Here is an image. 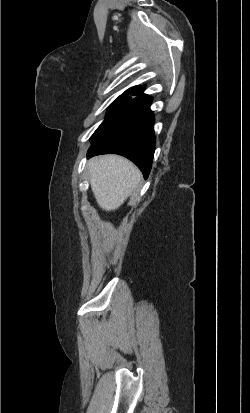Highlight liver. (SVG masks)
<instances>
[{"instance_id":"liver-1","label":"liver","mask_w":250,"mask_h":413,"mask_svg":"<svg viewBox=\"0 0 250 413\" xmlns=\"http://www.w3.org/2000/svg\"><path fill=\"white\" fill-rule=\"evenodd\" d=\"M92 192L106 211L119 208L141 180V172L124 157L105 155L88 162Z\"/></svg>"}]
</instances>
